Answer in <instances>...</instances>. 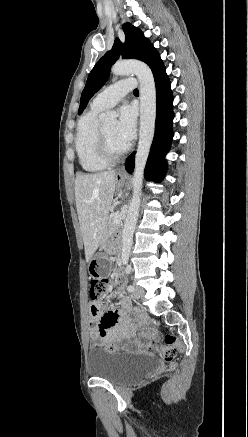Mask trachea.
<instances>
[{"label":"trachea","mask_w":248,"mask_h":437,"mask_svg":"<svg viewBox=\"0 0 248 437\" xmlns=\"http://www.w3.org/2000/svg\"><path fill=\"white\" fill-rule=\"evenodd\" d=\"M133 93H134V94H138V93H139L138 89H135V90L133 91Z\"/></svg>","instance_id":"1"}]
</instances>
